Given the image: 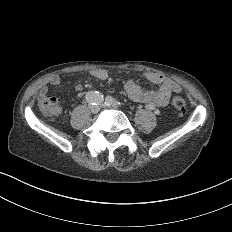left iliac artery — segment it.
Wrapping results in <instances>:
<instances>
[{"label": "left iliac artery", "instance_id": "44dca946", "mask_svg": "<svg viewBox=\"0 0 232 232\" xmlns=\"http://www.w3.org/2000/svg\"><path fill=\"white\" fill-rule=\"evenodd\" d=\"M105 104H106L107 106H110V107H121V106H123L122 103L118 102L117 100H115V99H114L113 97H111V96L106 97V99H105Z\"/></svg>", "mask_w": 232, "mask_h": 232}]
</instances>
